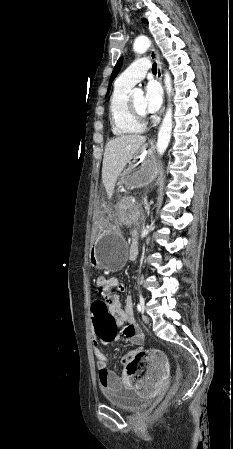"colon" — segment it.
<instances>
[{"instance_id":"obj_1","label":"colon","mask_w":233,"mask_h":449,"mask_svg":"<svg viewBox=\"0 0 233 449\" xmlns=\"http://www.w3.org/2000/svg\"><path fill=\"white\" fill-rule=\"evenodd\" d=\"M90 308V323L93 334H97L99 343H115L118 337L115 319L111 318L107 310L106 301H92ZM125 364V375H140L143 368L148 366L149 356L146 351H139L123 358ZM182 375L178 374L176 383L171 389V395H175L181 386Z\"/></svg>"}]
</instances>
